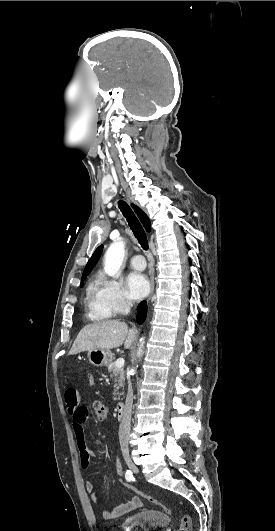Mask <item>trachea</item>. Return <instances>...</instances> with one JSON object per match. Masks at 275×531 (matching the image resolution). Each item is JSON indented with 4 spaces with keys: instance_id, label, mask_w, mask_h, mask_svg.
I'll return each instance as SVG.
<instances>
[{
    "instance_id": "1",
    "label": "trachea",
    "mask_w": 275,
    "mask_h": 531,
    "mask_svg": "<svg viewBox=\"0 0 275 531\" xmlns=\"http://www.w3.org/2000/svg\"><path fill=\"white\" fill-rule=\"evenodd\" d=\"M119 208L122 211L123 216L128 221V224H129L131 230L133 231L134 236L139 241V244L141 245V247L143 249H145L147 251V249L149 247L148 246V241H147V236L145 234V231H144L141 223L136 218V216L133 213V211L131 210L130 206H128V204L125 203L124 201H119Z\"/></svg>"
}]
</instances>
